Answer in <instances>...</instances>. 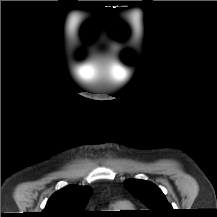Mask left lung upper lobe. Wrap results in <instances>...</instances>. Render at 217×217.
I'll return each instance as SVG.
<instances>
[{
  "label": "left lung upper lobe",
  "mask_w": 217,
  "mask_h": 217,
  "mask_svg": "<svg viewBox=\"0 0 217 217\" xmlns=\"http://www.w3.org/2000/svg\"><path fill=\"white\" fill-rule=\"evenodd\" d=\"M124 186L149 208L146 212L149 217H170L174 213L165 195L155 184L139 179H129L124 181Z\"/></svg>",
  "instance_id": "obj_1"
}]
</instances>
